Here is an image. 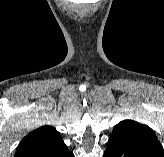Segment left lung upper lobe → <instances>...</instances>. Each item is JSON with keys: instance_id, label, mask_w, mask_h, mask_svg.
<instances>
[{"instance_id": "5c2ea615", "label": "left lung upper lobe", "mask_w": 164, "mask_h": 157, "mask_svg": "<svg viewBox=\"0 0 164 157\" xmlns=\"http://www.w3.org/2000/svg\"><path fill=\"white\" fill-rule=\"evenodd\" d=\"M110 138L136 147L153 157H164L163 147L152 129L136 121H121L114 127Z\"/></svg>"}]
</instances>
